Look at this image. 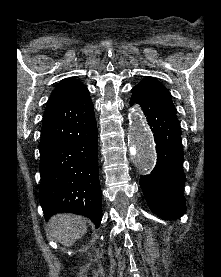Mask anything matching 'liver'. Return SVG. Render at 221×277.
<instances>
[{
	"label": "liver",
	"instance_id": "6515ba94",
	"mask_svg": "<svg viewBox=\"0 0 221 277\" xmlns=\"http://www.w3.org/2000/svg\"><path fill=\"white\" fill-rule=\"evenodd\" d=\"M47 233L67 247L72 246L87 232L86 219L73 214H56L47 225Z\"/></svg>",
	"mask_w": 221,
	"mask_h": 277
}]
</instances>
